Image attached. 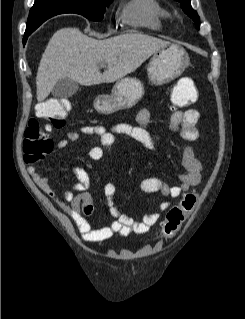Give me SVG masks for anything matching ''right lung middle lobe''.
Segmentation results:
<instances>
[{"instance_id":"obj_1","label":"right lung middle lobe","mask_w":245,"mask_h":319,"mask_svg":"<svg viewBox=\"0 0 245 319\" xmlns=\"http://www.w3.org/2000/svg\"><path fill=\"white\" fill-rule=\"evenodd\" d=\"M111 1L112 0H70L62 3L67 13H77L90 20L100 21L104 17L106 6ZM35 20L36 18H33L31 23H34Z\"/></svg>"}]
</instances>
